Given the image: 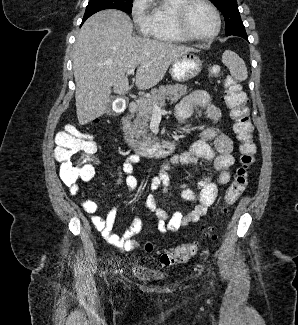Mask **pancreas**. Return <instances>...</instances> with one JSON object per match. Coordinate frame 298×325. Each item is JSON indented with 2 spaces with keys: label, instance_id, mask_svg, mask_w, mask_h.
Wrapping results in <instances>:
<instances>
[{
  "label": "pancreas",
  "instance_id": "cf45deb5",
  "mask_svg": "<svg viewBox=\"0 0 298 325\" xmlns=\"http://www.w3.org/2000/svg\"><path fill=\"white\" fill-rule=\"evenodd\" d=\"M188 90H192L186 84H163L158 88H152V96L140 98L137 100L136 118L131 124V134L135 136L138 144L143 142H155L157 136L153 132H149L148 122L153 114L152 106L158 102L159 106H165V100L169 102H177L184 94H188Z\"/></svg>",
  "mask_w": 298,
  "mask_h": 325
}]
</instances>
